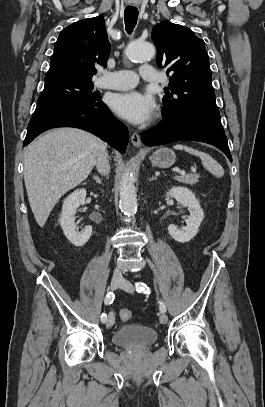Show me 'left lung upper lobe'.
<instances>
[{
  "instance_id": "obj_1",
  "label": "left lung upper lobe",
  "mask_w": 265,
  "mask_h": 407,
  "mask_svg": "<svg viewBox=\"0 0 265 407\" xmlns=\"http://www.w3.org/2000/svg\"><path fill=\"white\" fill-rule=\"evenodd\" d=\"M151 37L157 65L171 73L162 99L163 120L192 119L224 131L204 41L189 28L171 22L155 25Z\"/></svg>"
}]
</instances>
